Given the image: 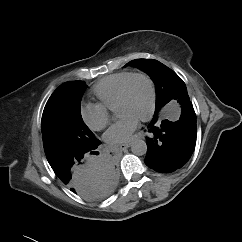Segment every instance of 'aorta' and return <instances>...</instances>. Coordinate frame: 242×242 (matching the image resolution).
<instances>
[{
    "instance_id": "obj_1",
    "label": "aorta",
    "mask_w": 242,
    "mask_h": 242,
    "mask_svg": "<svg viewBox=\"0 0 242 242\" xmlns=\"http://www.w3.org/2000/svg\"><path fill=\"white\" fill-rule=\"evenodd\" d=\"M131 151L134 155L142 156L147 153V144L143 140H135L131 145Z\"/></svg>"
}]
</instances>
